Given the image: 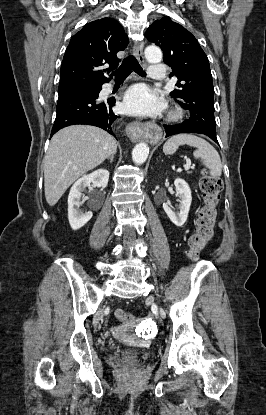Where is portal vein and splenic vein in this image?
Wrapping results in <instances>:
<instances>
[{"instance_id":"18ae733b","label":"portal vein and splenic vein","mask_w":266,"mask_h":415,"mask_svg":"<svg viewBox=\"0 0 266 415\" xmlns=\"http://www.w3.org/2000/svg\"><path fill=\"white\" fill-rule=\"evenodd\" d=\"M187 164L185 165V170H189L191 168V163L189 160H187Z\"/></svg>"}]
</instances>
